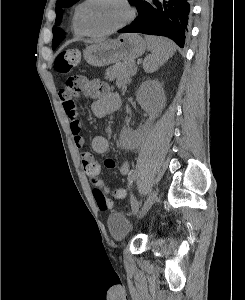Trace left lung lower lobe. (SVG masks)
<instances>
[{
	"label": "left lung lower lobe",
	"instance_id": "obj_1",
	"mask_svg": "<svg viewBox=\"0 0 245 300\" xmlns=\"http://www.w3.org/2000/svg\"><path fill=\"white\" fill-rule=\"evenodd\" d=\"M138 16L128 26L120 29V33H143L166 36L184 47L188 30V0H169L163 3L134 0Z\"/></svg>",
	"mask_w": 245,
	"mask_h": 300
}]
</instances>
